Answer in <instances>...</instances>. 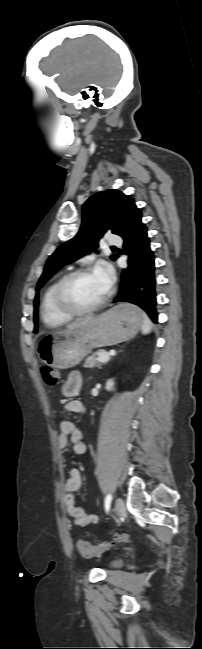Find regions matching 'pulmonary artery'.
Here are the masks:
<instances>
[{
    "label": "pulmonary artery",
    "mask_w": 202,
    "mask_h": 649,
    "mask_svg": "<svg viewBox=\"0 0 202 649\" xmlns=\"http://www.w3.org/2000/svg\"><path fill=\"white\" fill-rule=\"evenodd\" d=\"M107 243L110 246L121 245L122 239H121V237H119L117 235H109L108 238H107Z\"/></svg>",
    "instance_id": "1"
}]
</instances>
